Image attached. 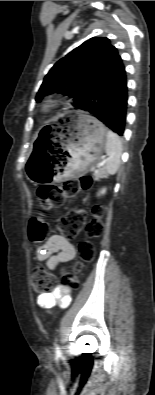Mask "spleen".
Masks as SVG:
<instances>
[{
    "instance_id": "1",
    "label": "spleen",
    "mask_w": 155,
    "mask_h": 395,
    "mask_svg": "<svg viewBox=\"0 0 155 395\" xmlns=\"http://www.w3.org/2000/svg\"><path fill=\"white\" fill-rule=\"evenodd\" d=\"M105 152L108 156L105 172L114 175L118 171L121 162L122 142L119 136L111 130L107 131Z\"/></svg>"
}]
</instances>
